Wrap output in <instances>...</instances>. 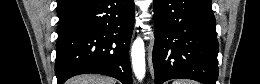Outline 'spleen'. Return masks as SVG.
<instances>
[{
  "mask_svg": "<svg viewBox=\"0 0 260 84\" xmlns=\"http://www.w3.org/2000/svg\"><path fill=\"white\" fill-rule=\"evenodd\" d=\"M173 84H198V83L191 80H175Z\"/></svg>",
  "mask_w": 260,
  "mask_h": 84,
  "instance_id": "obj_1",
  "label": "spleen"
}]
</instances>
